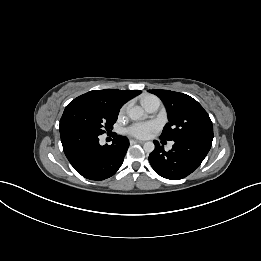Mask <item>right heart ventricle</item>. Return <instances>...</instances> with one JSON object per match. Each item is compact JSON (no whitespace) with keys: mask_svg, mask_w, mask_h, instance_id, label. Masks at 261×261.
<instances>
[{"mask_svg":"<svg viewBox=\"0 0 261 261\" xmlns=\"http://www.w3.org/2000/svg\"><path fill=\"white\" fill-rule=\"evenodd\" d=\"M152 96H145L142 98L141 103L143 104L147 99H149Z\"/></svg>","mask_w":261,"mask_h":261,"instance_id":"e07e8e85","label":"right heart ventricle"}]
</instances>
